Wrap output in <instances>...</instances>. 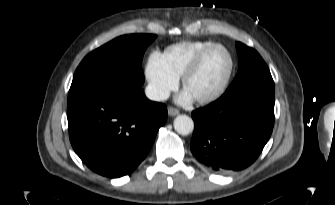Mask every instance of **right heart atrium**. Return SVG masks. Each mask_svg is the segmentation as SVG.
<instances>
[{"label": "right heart atrium", "mask_w": 335, "mask_h": 205, "mask_svg": "<svg viewBox=\"0 0 335 205\" xmlns=\"http://www.w3.org/2000/svg\"><path fill=\"white\" fill-rule=\"evenodd\" d=\"M144 76L149 96L157 101L163 100L178 84V77L168 68L162 54L152 52L146 61Z\"/></svg>", "instance_id": "1"}]
</instances>
